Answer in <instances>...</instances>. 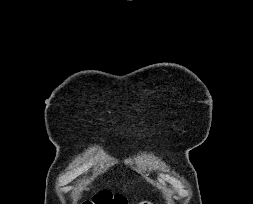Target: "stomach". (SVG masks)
Segmentation results:
<instances>
[{"instance_id": "1", "label": "stomach", "mask_w": 253, "mask_h": 204, "mask_svg": "<svg viewBox=\"0 0 253 204\" xmlns=\"http://www.w3.org/2000/svg\"><path fill=\"white\" fill-rule=\"evenodd\" d=\"M140 204H152V202H150V201H143Z\"/></svg>"}]
</instances>
